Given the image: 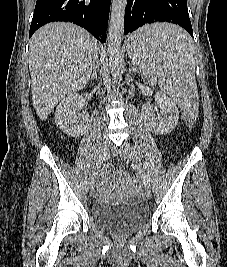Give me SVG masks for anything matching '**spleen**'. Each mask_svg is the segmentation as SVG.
<instances>
[{
	"mask_svg": "<svg viewBox=\"0 0 227 267\" xmlns=\"http://www.w3.org/2000/svg\"><path fill=\"white\" fill-rule=\"evenodd\" d=\"M130 36L126 51L130 63H136L140 77H154V81H160L187 115H195L198 106L195 50L181 25L176 22L145 23L139 31H130Z\"/></svg>",
	"mask_w": 227,
	"mask_h": 267,
	"instance_id": "3e777b00",
	"label": "spleen"
}]
</instances>
